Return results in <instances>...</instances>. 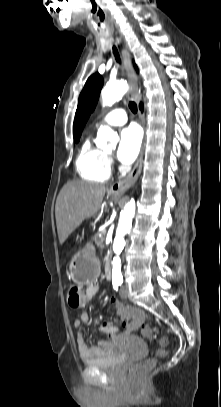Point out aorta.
Masks as SVG:
<instances>
[{
  "mask_svg": "<svg viewBox=\"0 0 221 407\" xmlns=\"http://www.w3.org/2000/svg\"><path fill=\"white\" fill-rule=\"evenodd\" d=\"M128 90V84L125 81H118L113 84H107L101 91L102 106H112L120 100ZM113 136V131L108 126H101L98 129L96 143L104 145ZM135 215V200L131 199L120 213L119 224L116 230L113 242V251L115 256L112 261V280L119 281L122 277L120 254L125 246V235L130 231L132 219Z\"/></svg>",
  "mask_w": 221,
  "mask_h": 407,
  "instance_id": "1",
  "label": "aorta"
}]
</instances>
